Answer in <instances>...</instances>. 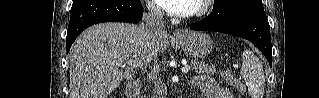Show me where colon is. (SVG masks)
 Instances as JSON below:
<instances>
[{
    "label": "colon",
    "instance_id": "5ec220e1",
    "mask_svg": "<svg viewBox=\"0 0 319 98\" xmlns=\"http://www.w3.org/2000/svg\"><path fill=\"white\" fill-rule=\"evenodd\" d=\"M221 75L226 82L234 86L237 90H239L240 92L244 91V85L239 82L230 71L224 70L222 71Z\"/></svg>",
    "mask_w": 319,
    "mask_h": 98
}]
</instances>
